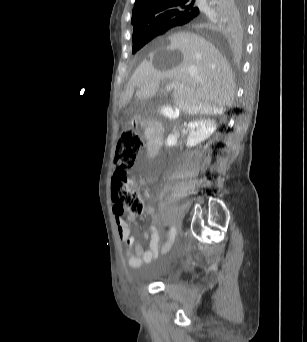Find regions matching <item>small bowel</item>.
Returning a JSON list of instances; mask_svg holds the SVG:
<instances>
[{"label": "small bowel", "instance_id": "1", "mask_svg": "<svg viewBox=\"0 0 307 342\" xmlns=\"http://www.w3.org/2000/svg\"><path fill=\"white\" fill-rule=\"evenodd\" d=\"M153 213L154 211L152 208H147V216H152ZM129 221L133 220L129 219ZM115 223L118 236L123 242L125 248L128 265L131 268H139L143 264L150 263L158 256L160 236L156 226H151L150 230L144 233V237L149 240V249L143 250V248L132 237L128 221L120 216H117L115 218Z\"/></svg>", "mask_w": 307, "mask_h": 342}]
</instances>
